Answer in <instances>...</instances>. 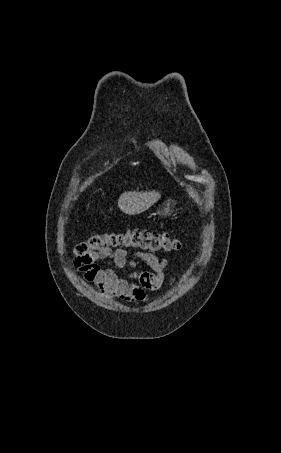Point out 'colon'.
I'll use <instances>...</instances> for the list:
<instances>
[{
	"mask_svg": "<svg viewBox=\"0 0 281 453\" xmlns=\"http://www.w3.org/2000/svg\"><path fill=\"white\" fill-rule=\"evenodd\" d=\"M115 247L125 251L152 250L154 255H159L161 252L179 251L181 244L164 231L128 227L123 232H108L89 237L79 246L77 258L86 263L105 261L106 249Z\"/></svg>",
	"mask_w": 281,
	"mask_h": 453,
	"instance_id": "1",
	"label": "colon"
}]
</instances>
